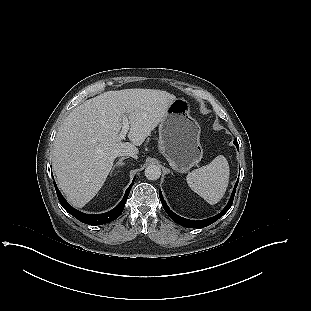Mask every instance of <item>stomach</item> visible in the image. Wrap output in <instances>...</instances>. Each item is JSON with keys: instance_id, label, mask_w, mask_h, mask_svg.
<instances>
[{"instance_id": "obj_1", "label": "stomach", "mask_w": 311, "mask_h": 311, "mask_svg": "<svg viewBox=\"0 0 311 311\" xmlns=\"http://www.w3.org/2000/svg\"><path fill=\"white\" fill-rule=\"evenodd\" d=\"M189 113V102L176 98L159 124V151L171 168L179 173L189 171L203 156L200 127Z\"/></svg>"}]
</instances>
